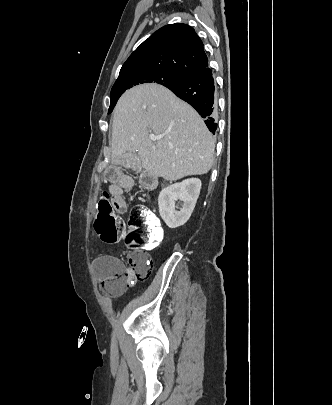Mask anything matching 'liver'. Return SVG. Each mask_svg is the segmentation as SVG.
Segmentation results:
<instances>
[{"mask_svg":"<svg viewBox=\"0 0 332 405\" xmlns=\"http://www.w3.org/2000/svg\"><path fill=\"white\" fill-rule=\"evenodd\" d=\"M151 134L159 139L152 141ZM111 148L113 164L141 162L149 174L176 181L206 174L214 162L215 143L195 109L151 83L127 90L118 100Z\"/></svg>","mask_w":332,"mask_h":405,"instance_id":"1","label":"liver"}]
</instances>
